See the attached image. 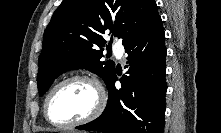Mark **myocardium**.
Listing matches in <instances>:
<instances>
[{
	"instance_id": "f54148a6",
	"label": "myocardium",
	"mask_w": 221,
	"mask_h": 133,
	"mask_svg": "<svg viewBox=\"0 0 221 133\" xmlns=\"http://www.w3.org/2000/svg\"><path fill=\"white\" fill-rule=\"evenodd\" d=\"M72 81H85L88 82L90 84L93 85L96 94H97V100H96V104L94 106V108L92 109V111L86 115L85 117L72 121V122H68V123H58V122H54L48 114V103L49 100L52 96V94L62 85L72 82ZM106 102H107V97H106V93L105 90L101 84V82L94 76L91 75H87V74H74V75H70L68 77L63 78L62 80H60L59 82H57L55 85H53L51 87V89L48 91L45 99H44V104H43V113H44V117L45 119L53 126L58 127V128H71V127H77V126H81L84 124H87L93 120H95L97 117H99L102 112L105 109L106 106Z\"/></svg>"
}]
</instances>
